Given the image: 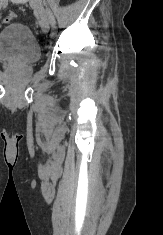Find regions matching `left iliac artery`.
I'll return each mask as SVG.
<instances>
[{
  "label": "left iliac artery",
  "mask_w": 163,
  "mask_h": 235,
  "mask_svg": "<svg viewBox=\"0 0 163 235\" xmlns=\"http://www.w3.org/2000/svg\"><path fill=\"white\" fill-rule=\"evenodd\" d=\"M47 14H48L51 25L54 26L56 21H55V18L53 16V13L49 9H47Z\"/></svg>",
  "instance_id": "left-iliac-artery-1"
}]
</instances>
